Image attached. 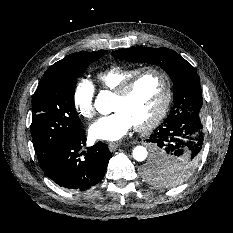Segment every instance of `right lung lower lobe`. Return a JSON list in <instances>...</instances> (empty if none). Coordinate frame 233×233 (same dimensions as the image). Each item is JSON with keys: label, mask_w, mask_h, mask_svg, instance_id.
Returning a JSON list of instances; mask_svg holds the SVG:
<instances>
[{"label": "right lung lower lobe", "mask_w": 233, "mask_h": 233, "mask_svg": "<svg viewBox=\"0 0 233 233\" xmlns=\"http://www.w3.org/2000/svg\"><path fill=\"white\" fill-rule=\"evenodd\" d=\"M85 144V132L81 129L64 143L48 164L41 167L45 175L67 189L84 191L96 185L105 175L112 153L102 142L79 153Z\"/></svg>", "instance_id": "right-lung-lower-lobe-1"}]
</instances>
